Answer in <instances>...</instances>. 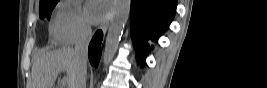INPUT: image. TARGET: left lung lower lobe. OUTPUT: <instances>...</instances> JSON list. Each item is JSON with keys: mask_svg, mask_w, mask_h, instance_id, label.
<instances>
[{"mask_svg": "<svg viewBox=\"0 0 267 88\" xmlns=\"http://www.w3.org/2000/svg\"><path fill=\"white\" fill-rule=\"evenodd\" d=\"M176 4V0H131V34L139 63L149 49L148 40L157 41L169 27Z\"/></svg>", "mask_w": 267, "mask_h": 88, "instance_id": "obj_1", "label": "left lung lower lobe"}]
</instances>
